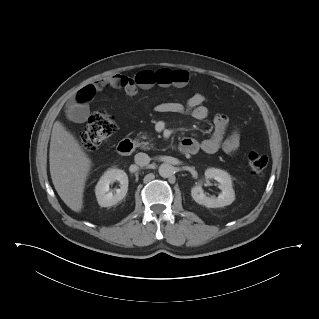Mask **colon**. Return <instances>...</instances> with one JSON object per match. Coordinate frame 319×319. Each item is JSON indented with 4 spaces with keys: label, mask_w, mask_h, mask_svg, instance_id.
Instances as JSON below:
<instances>
[{
    "label": "colon",
    "mask_w": 319,
    "mask_h": 319,
    "mask_svg": "<svg viewBox=\"0 0 319 319\" xmlns=\"http://www.w3.org/2000/svg\"><path fill=\"white\" fill-rule=\"evenodd\" d=\"M116 129V122L111 116L103 112L94 113L80 132L81 144L87 150H95L111 137ZM248 164L254 174L261 175L267 167L268 158L263 153L252 151L248 155Z\"/></svg>",
    "instance_id": "5ec220e1"
}]
</instances>
